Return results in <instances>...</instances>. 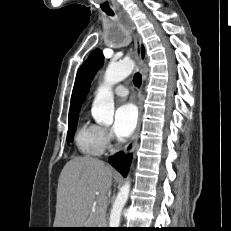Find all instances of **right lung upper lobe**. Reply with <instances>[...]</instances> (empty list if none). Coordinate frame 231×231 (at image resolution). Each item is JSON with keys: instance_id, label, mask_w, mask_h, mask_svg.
Returning <instances> with one entry per match:
<instances>
[{"instance_id": "cb5924a9", "label": "right lung upper lobe", "mask_w": 231, "mask_h": 231, "mask_svg": "<svg viewBox=\"0 0 231 231\" xmlns=\"http://www.w3.org/2000/svg\"><path fill=\"white\" fill-rule=\"evenodd\" d=\"M81 77H82V67L79 70L76 81L74 84L72 96H71V103H70V110H69V118L78 116L79 113V93H80V83H81Z\"/></svg>"}]
</instances>
